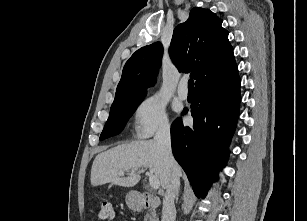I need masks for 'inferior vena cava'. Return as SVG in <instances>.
<instances>
[{
	"label": "inferior vena cava",
	"instance_id": "inferior-vena-cava-1",
	"mask_svg": "<svg viewBox=\"0 0 307 221\" xmlns=\"http://www.w3.org/2000/svg\"><path fill=\"white\" fill-rule=\"evenodd\" d=\"M154 140L163 151L169 167V184L163 198L161 221H175L176 209L174 200L179 192L180 179L176 172L177 163L171 151L170 127L168 125L160 126L155 134Z\"/></svg>",
	"mask_w": 307,
	"mask_h": 221
}]
</instances>
